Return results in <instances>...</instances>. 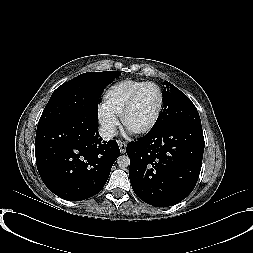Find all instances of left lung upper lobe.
I'll return each mask as SVG.
<instances>
[{
	"label": "left lung upper lobe",
	"mask_w": 253,
	"mask_h": 253,
	"mask_svg": "<svg viewBox=\"0 0 253 253\" xmlns=\"http://www.w3.org/2000/svg\"><path fill=\"white\" fill-rule=\"evenodd\" d=\"M164 84V110L150 131L180 123H201L199 113L192 101L168 81H165Z\"/></svg>",
	"instance_id": "left-lung-upper-lobe-1"
}]
</instances>
